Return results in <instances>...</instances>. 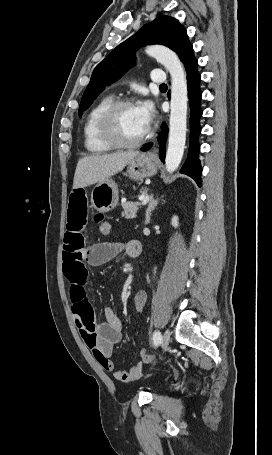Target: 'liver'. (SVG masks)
Wrapping results in <instances>:
<instances>
[{
  "label": "liver",
  "mask_w": 272,
  "mask_h": 455,
  "mask_svg": "<svg viewBox=\"0 0 272 455\" xmlns=\"http://www.w3.org/2000/svg\"><path fill=\"white\" fill-rule=\"evenodd\" d=\"M139 154L138 151H127L81 158L75 170L73 189L85 188L108 180Z\"/></svg>",
  "instance_id": "6515ba94"
}]
</instances>
